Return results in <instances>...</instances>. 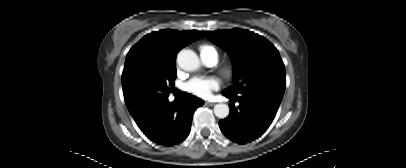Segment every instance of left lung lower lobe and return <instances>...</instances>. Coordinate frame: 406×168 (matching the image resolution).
I'll return each instance as SVG.
<instances>
[{
  "instance_id": "1",
  "label": "left lung lower lobe",
  "mask_w": 406,
  "mask_h": 168,
  "mask_svg": "<svg viewBox=\"0 0 406 168\" xmlns=\"http://www.w3.org/2000/svg\"><path fill=\"white\" fill-rule=\"evenodd\" d=\"M224 96L239 102L238 108L230 106V114L219 122L223 134L239 144L251 142L262 135L272 123L283 95L252 92L244 95Z\"/></svg>"
}]
</instances>
